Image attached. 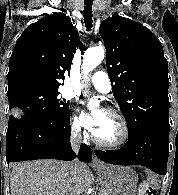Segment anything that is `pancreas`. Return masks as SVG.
Masks as SVG:
<instances>
[{
	"label": "pancreas",
	"mask_w": 178,
	"mask_h": 195,
	"mask_svg": "<svg viewBox=\"0 0 178 195\" xmlns=\"http://www.w3.org/2000/svg\"><path fill=\"white\" fill-rule=\"evenodd\" d=\"M98 195H103V193L102 192H99Z\"/></svg>",
	"instance_id": "obj_1"
}]
</instances>
